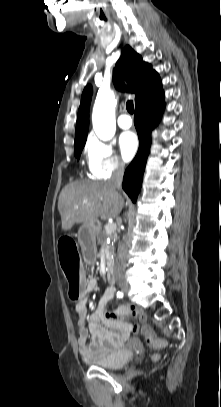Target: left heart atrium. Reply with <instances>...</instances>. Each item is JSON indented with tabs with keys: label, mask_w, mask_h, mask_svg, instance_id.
Segmentation results:
<instances>
[{
	"label": "left heart atrium",
	"mask_w": 221,
	"mask_h": 407,
	"mask_svg": "<svg viewBox=\"0 0 221 407\" xmlns=\"http://www.w3.org/2000/svg\"><path fill=\"white\" fill-rule=\"evenodd\" d=\"M119 147L124 160L129 161L138 148V139L133 132H124L119 138Z\"/></svg>",
	"instance_id": "39dd6f15"
}]
</instances>
